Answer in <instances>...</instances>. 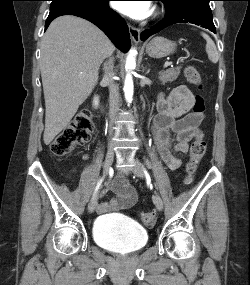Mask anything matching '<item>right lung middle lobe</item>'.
Returning <instances> with one entry per match:
<instances>
[{
    "label": "right lung middle lobe",
    "instance_id": "1",
    "mask_svg": "<svg viewBox=\"0 0 250 285\" xmlns=\"http://www.w3.org/2000/svg\"><path fill=\"white\" fill-rule=\"evenodd\" d=\"M51 1L52 3L50 5V13H54L69 7L95 5L101 0H51Z\"/></svg>",
    "mask_w": 250,
    "mask_h": 285
}]
</instances>
